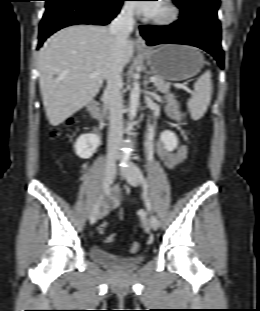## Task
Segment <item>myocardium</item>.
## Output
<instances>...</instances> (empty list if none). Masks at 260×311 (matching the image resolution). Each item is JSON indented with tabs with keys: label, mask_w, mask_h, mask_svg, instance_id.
<instances>
[{
	"label": "myocardium",
	"mask_w": 260,
	"mask_h": 311,
	"mask_svg": "<svg viewBox=\"0 0 260 311\" xmlns=\"http://www.w3.org/2000/svg\"><path fill=\"white\" fill-rule=\"evenodd\" d=\"M161 2L165 5L166 14L157 17L151 16L148 20L158 26H169L174 24L180 16L179 8L173 0H161Z\"/></svg>",
	"instance_id": "myocardium-1"
}]
</instances>
